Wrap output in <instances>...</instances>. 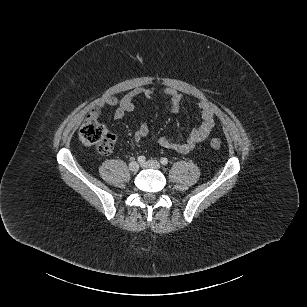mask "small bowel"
Returning <instances> with one entry per match:
<instances>
[{"label": "small bowel", "mask_w": 307, "mask_h": 307, "mask_svg": "<svg viewBox=\"0 0 307 307\" xmlns=\"http://www.w3.org/2000/svg\"><path fill=\"white\" fill-rule=\"evenodd\" d=\"M153 94L154 92L151 89L137 87L121 98L109 96L96 104L90 116L92 118H97L104 107H113L115 108L114 117L120 119L134 110L135 101L138 97L143 96L147 99H151ZM164 94L170 99V110L174 113L178 112L184 99L183 94L172 88H166ZM198 109L202 121L191 131L185 141L176 142L163 136L158 139V144L164 149L185 154L193 150L200 142L204 141L215 128L214 111L209 104L204 102L198 103ZM149 134L150 130L148 126L144 122H139L134 132V140L137 144H140Z\"/></svg>", "instance_id": "c3829d8e"}]
</instances>
